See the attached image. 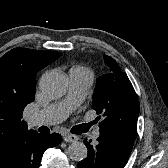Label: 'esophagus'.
Listing matches in <instances>:
<instances>
[{
  "mask_svg": "<svg viewBox=\"0 0 168 168\" xmlns=\"http://www.w3.org/2000/svg\"><path fill=\"white\" fill-rule=\"evenodd\" d=\"M63 140L65 142H75L78 140V137L76 135H73V134H65L63 136Z\"/></svg>",
  "mask_w": 168,
  "mask_h": 168,
  "instance_id": "34e87169",
  "label": "esophagus"
}]
</instances>
